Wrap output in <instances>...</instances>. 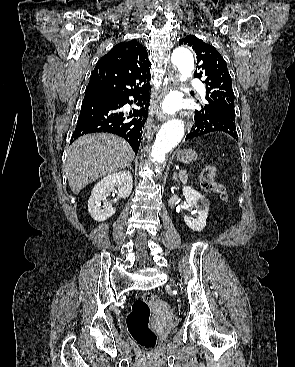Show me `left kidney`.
<instances>
[{
    "instance_id": "5707ae66",
    "label": "left kidney",
    "mask_w": 295,
    "mask_h": 367,
    "mask_svg": "<svg viewBox=\"0 0 295 367\" xmlns=\"http://www.w3.org/2000/svg\"><path fill=\"white\" fill-rule=\"evenodd\" d=\"M182 191L188 205L194 206L198 214L196 220L185 215L184 221L186 225L193 231L203 230L206 226L209 211L208 199L190 186H184Z\"/></svg>"
}]
</instances>
